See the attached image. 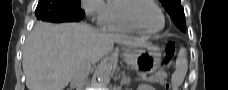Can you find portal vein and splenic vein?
<instances>
[{
  "mask_svg": "<svg viewBox=\"0 0 228 90\" xmlns=\"http://www.w3.org/2000/svg\"><path fill=\"white\" fill-rule=\"evenodd\" d=\"M141 79L142 80H148V78L146 76H142Z\"/></svg>",
  "mask_w": 228,
  "mask_h": 90,
  "instance_id": "1",
  "label": "portal vein and splenic vein"
}]
</instances>
